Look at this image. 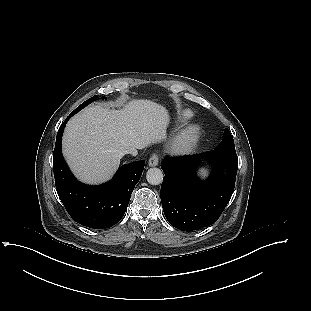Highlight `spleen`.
<instances>
[{"label":"spleen","mask_w":311,"mask_h":311,"mask_svg":"<svg viewBox=\"0 0 311 311\" xmlns=\"http://www.w3.org/2000/svg\"><path fill=\"white\" fill-rule=\"evenodd\" d=\"M201 174L205 176L206 175V170L201 169Z\"/></svg>","instance_id":"obj_1"}]
</instances>
